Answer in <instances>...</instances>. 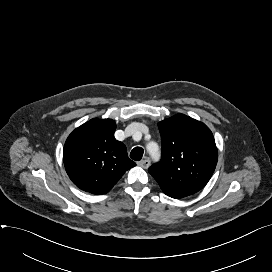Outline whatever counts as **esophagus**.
<instances>
[{"label": "esophagus", "mask_w": 272, "mask_h": 272, "mask_svg": "<svg viewBox=\"0 0 272 272\" xmlns=\"http://www.w3.org/2000/svg\"><path fill=\"white\" fill-rule=\"evenodd\" d=\"M140 167L147 169L150 166V160L145 158L137 163Z\"/></svg>", "instance_id": "obj_1"}]
</instances>
